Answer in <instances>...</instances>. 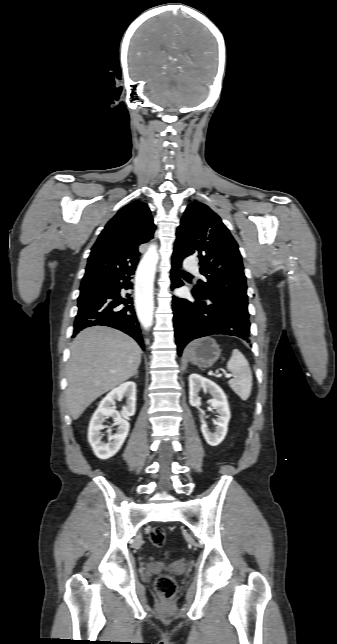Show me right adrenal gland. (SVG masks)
Wrapping results in <instances>:
<instances>
[{
  "mask_svg": "<svg viewBox=\"0 0 337 644\" xmlns=\"http://www.w3.org/2000/svg\"><path fill=\"white\" fill-rule=\"evenodd\" d=\"M135 378H138V371L134 374Z\"/></svg>",
  "mask_w": 337,
  "mask_h": 644,
  "instance_id": "2a0ac1e0",
  "label": "right adrenal gland"
}]
</instances>
